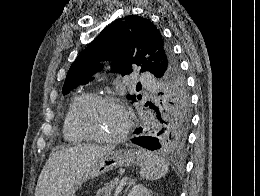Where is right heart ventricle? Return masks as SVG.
<instances>
[{
    "instance_id": "obj_1",
    "label": "right heart ventricle",
    "mask_w": 260,
    "mask_h": 196,
    "mask_svg": "<svg viewBox=\"0 0 260 196\" xmlns=\"http://www.w3.org/2000/svg\"><path fill=\"white\" fill-rule=\"evenodd\" d=\"M94 97L90 91H82L72 101L68 111L66 112L62 133L65 140L71 145H77L88 138L77 127V116L80 110Z\"/></svg>"
}]
</instances>
